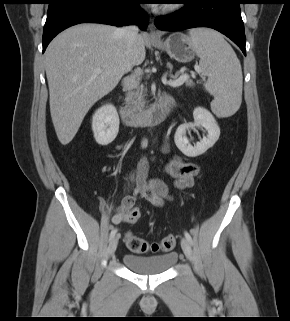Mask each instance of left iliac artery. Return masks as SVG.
Masks as SVG:
<instances>
[{
  "mask_svg": "<svg viewBox=\"0 0 290 321\" xmlns=\"http://www.w3.org/2000/svg\"><path fill=\"white\" fill-rule=\"evenodd\" d=\"M184 234H185L186 239H187L189 242H192V238H191L190 234H189L187 231H185Z\"/></svg>",
  "mask_w": 290,
  "mask_h": 321,
  "instance_id": "left-iliac-artery-1",
  "label": "left iliac artery"
}]
</instances>
